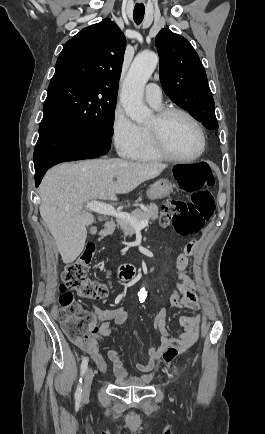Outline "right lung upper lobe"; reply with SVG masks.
Listing matches in <instances>:
<instances>
[{
	"instance_id": "obj_1",
	"label": "right lung upper lobe",
	"mask_w": 265,
	"mask_h": 434,
	"mask_svg": "<svg viewBox=\"0 0 265 434\" xmlns=\"http://www.w3.org/2000/svg\"><path fill=\"white\" fill-rule=\"evenodd\" d=\"M126 39L110 19L82 29L67 41L52 78L84 77L118 89Z\"/></svg>"
}]
</instances>
